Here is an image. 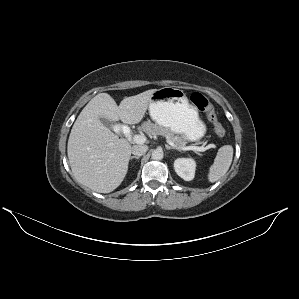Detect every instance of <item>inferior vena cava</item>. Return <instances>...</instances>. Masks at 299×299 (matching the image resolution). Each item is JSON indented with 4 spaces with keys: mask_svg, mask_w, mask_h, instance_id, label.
I'll list each match as a JSON object with an SVG mask.
<instances>
[{
    "mask_svg": "<svg viewBox=\"0 0 299 299\" xmlns=\"http://www.w3.org/2000/svg\"><path fill=\"white\" fill-rule=\"evenodd\" d=\"M148 150V146L147 145H135L132 148V154H134L135 156H142L144 155Z\"/></svg>",
    "mask_w": 299,
    "mask_h": 299,
    "instance_id": "obj_1",
    "label": "inferior vena cava"
}]
</instances>
